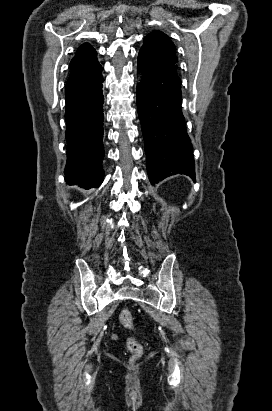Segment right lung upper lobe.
Returning a JSON list of instances; mask_svg holds the SVG:
<instances>
[{
    "instance_id": "obj_1",
    "label": "right lung upper lobe",
    "mask_w": 272,
    "mask_h": 411,
    "mask_svg": "<svg viewBox=\"0 0 272 411\" xmlns=\"http://www.w3.org/2000/svg\"><path fill=\"white\" fill-rule=\"evenodd\" d=\"M71 74L66 83L65 95L83 90L100 77L102 66L96 58L95 49L88 43L82 44L70 62Z\"/></svg>"
}]
</instances>
